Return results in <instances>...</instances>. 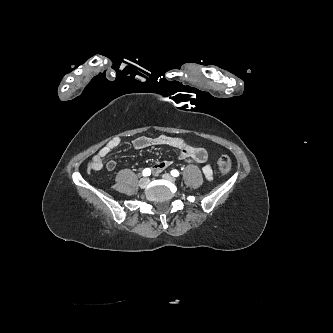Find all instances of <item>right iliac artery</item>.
Here are the masks:
<instances>
[{"instance_id":"obj_1","label":"right iliac artery","mask_w":333,"mask_h":333,"mask_svg":"<svg viewBox=\"0 0 333 333\" xmlns=\"http://www.w3.org/2000/svg\"><path fill=\"white\" fill-rule=\"evenodd\" d=\"M143 176L147 177L151 175V170L149 168H146L142 172Z\"/></svg>"}]
</instances>
